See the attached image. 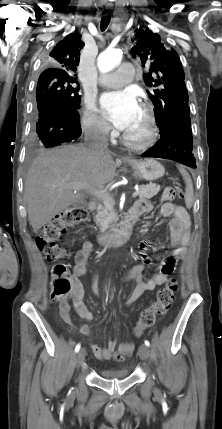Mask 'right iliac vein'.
Returning a JSON list of instances; mask_svg holds the SVG:
<instances>
[{
  "instance_id": "obj_1",
  "label": "right iliac vein",
  "mask_w": 222,
  "mask_h": 429,
  "mask_svg": "<svg viewBox=\"0 0 222 429\" xmlns=\"http://www.w3.org/2000/svg\"><path fill=\"white\" fill-rule=\"evenodd\" d=\"M85 350L84 349H81L78 353H77V355H76V364H77V366H80L83 362H84V359H85Z\"/></svg>"
}]
</instances>
